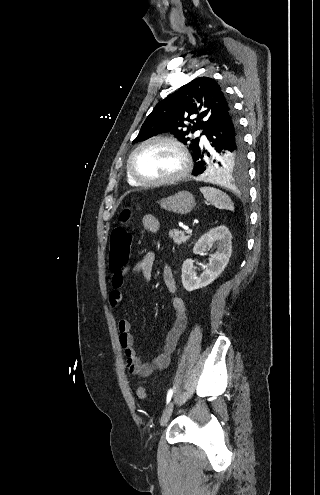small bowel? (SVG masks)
<instances>
[{"label":"small bowel","mask_w":320,"mask_h":495,"mask_svg":"<svg viewBox=\"0 0 320 495\" xmlns=\"http://www.w3.org/2000/svg\"><path fill=\"white\" fill-rule=\"evenodd\" d=\"M142 224L147 231L153 234H156L160 228L158 219L151 214L143 216ZM154 260V252L149 251L133 267H125L121 271L112 274L111 284L113 289L109 294V304L111 308H117L123 301L121 288L124 284L125 275L135 274L141 276L145 281H149L152 277ZM163 280L169 293L173 294V322L165 335L162 349L159 354L151 361L143 362L138 357L134 348L131 323L126 319H121L118 322L119 343L126 356V365L130 373L136 376L148 377L154 371L168 367L171 354L175 350L179 338L187 325V308L185 302L175 295L177 290L176 281L172 269L169 266H165L163 269Z\"/></svg>","instance_id":"1"}]
</instances>
